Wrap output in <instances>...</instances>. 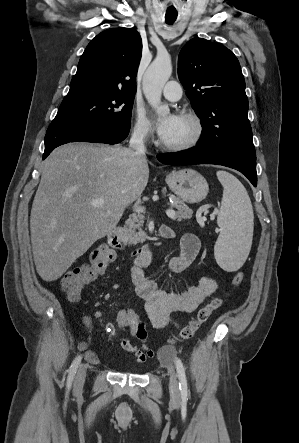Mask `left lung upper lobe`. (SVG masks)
<instances>
[{
  "instance_id": "1",
  "label": "left lung upper lobe",
  "mask_w": 299,
  "mask_h": 443,
  "mask_svg": "<svg viewBox=\"0 0 299 443\" xmlns=\"http://www.w3.org/2000/svg\"><path fill=\"white\" fill-rule=\"evenodd\" d=\"M178 76L201 120L198 148L254 149L245 80L232 51L219 43L193 38L179 54Z\"/></svg>"
}]
</instances>
